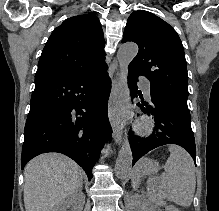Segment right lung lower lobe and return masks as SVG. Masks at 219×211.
Wrapping results in <instances>:
<instances>
[{
    "mask_svg": "<svg viewBox=\"0 0 219 211\" xmlns=\"http://www.w3.org/2000/svg\"><path fill=\"white\" fill-rule=\"evenodd\" d=\"M108 66L35 76L30 111L24 129L22 168L46 152L63 153L86 172L99 158L112 132L108 116L111 80Z\"/></svg>",
    "mask_w": 219,
    "mask_h": 211,
    "instance_id": "right-lung-lower-lobe-1",
    "label": "right lung lower lobe"
}]
</instances>
